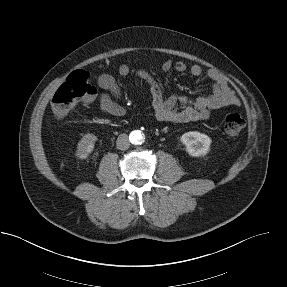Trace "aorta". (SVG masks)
<instances>
[{
	"label": "aorta",
	"instance_id": "obj_1",
	"mask_svg": "<svg viewBox=\"0 0 287 287\" xmlns=\"http://www.w3.org/2000/svg\"><path fill=\"white\" fill-rule=\"evenodd\" d=\"M143 139H144V136L141 133V131L136 130V131L131 132L130 134V140L133 144H140L143 142Z\"/></svg>",
	"mask_w": 287,
	"mask_h": 287
}]
</instances>
